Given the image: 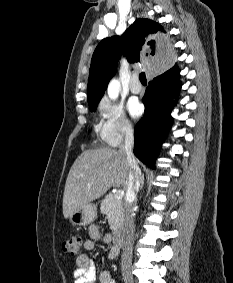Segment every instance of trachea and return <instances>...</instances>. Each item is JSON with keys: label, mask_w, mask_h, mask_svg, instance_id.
I'll return each mask as SVG.
<instances>
[{"label": "trachea", "mask_w": 233, "mask_h": 283, "mask_svg": "<svg viewBox=\"0 0 233 283\" xmlns=\"http://www.w3.org/2000/svg\"><path fill=\"white\" fill-rule=\"evenodd\" d=\"M139 79H140V82L142 84H146L147 83V79H146L145 73H140Z\"/></svg>", "instance_id": "3493384b"}]
</instances>
